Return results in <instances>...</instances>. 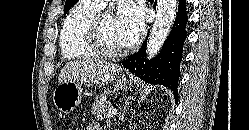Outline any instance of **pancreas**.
<instances>
[{
    "label": "pancreas",
    "instance_id": "obj_1",
    "mask_svg": "<svg viewBox=\"0 0 249 130\" xmlns=\"http://www.w3.org/2000/svg\"><path fill=\"white\" fill-rule=\"evenodd\" d=\"M111 108V104L105 100V95L101 94L96 97L94 104H92V114L97 119L102 120Z\"/></svg>",
    "mask_w": 249,
    "mask_h": 130
}]
</instances>
